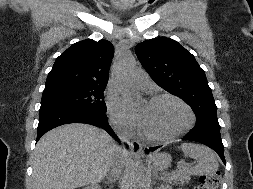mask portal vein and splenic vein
<instances>
[{"label":"portal vein and splenic vein","instance_id":"obj_1","mask_svg":"<svg viewBox=\"0 0 253 189\" xmlns=\"http://www.w3.org/2000/svg\"><path fill=\"white\" fill-rule=\"evenodd\" d=\"M185 165H186V163H185L184 161H182V162L180 163V165L178 166V168H183Z\"/></svg>","mask_w":253,"mask_h":189}]
</instances>
